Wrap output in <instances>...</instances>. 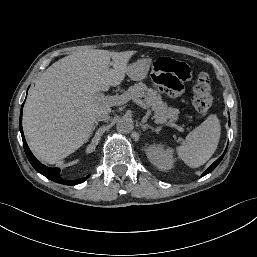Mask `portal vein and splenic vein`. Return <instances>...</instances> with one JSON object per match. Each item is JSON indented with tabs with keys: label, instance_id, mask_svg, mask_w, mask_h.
Masks as SVG:
<instances>
[{
	"label": "portal vein and splenic vein",
	"instance_id": "obj_1",
	"mask_svg": "<svg viewBox=\"0 0 257 257\" xmlns=\"http://www.w3.org/2000/svg\"><path fill=\"white\" fill-rule=\"evenodd\" d=\"M96 97L99 99V101L108 104L110 106H117L122 105L128 102L130 99H128L124 94L119 96H105L104 94H97ZM134 102L142 107L143 109L148 110V106L141 100L135 99ZM160 122V121H159ZM163 123V122H160ZM173 127H177L175 124H170Z\"/></svg>",
	"mask_w": 257,
	"mask_h": 257
}]
</instances>
